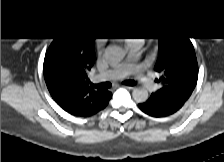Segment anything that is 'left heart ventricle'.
<instances>
[{
	"label": "left heart ventricle",
	"mask_w": 224,
	"mask_h": 162,
	"mask_svg": "<svg viewBox=\"0 0 224 162\" xmlns=\"http://www.w3.org/2000/svg\"><path fill=\"white\" fill-rule=\"evenodd\" d=\"M130 56H131V55H129L128 58H127L125 61L122 62V64H127V63L129 62V58H130Z\"/></svg>",
	"instance_id": "left-heart-ventricle-1"
}]
</instances>
